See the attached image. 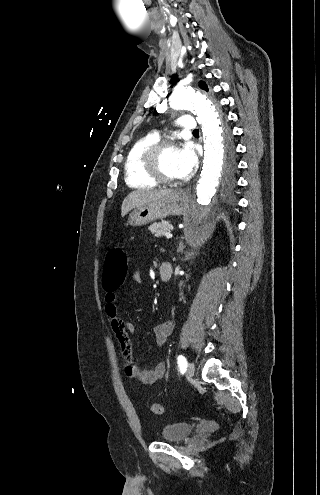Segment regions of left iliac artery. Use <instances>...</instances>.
I'll return each instance as SVG.
<instances>
[{
	"label": "left iliac artery",
	"mask_w": 320,
	"mask_h": 495,
	"mask_svg": "<svg viewBox=\"0 0 320 495\" xmlns=\"http://www.w3.org/2000/svg\"><path fill=\"white\" fill-rule=\"evenodd\" d=\"M179 369L181 373H184L187 368V360L183 355H179L177 358Z\"/></svg>",
	"instance_id": "left-iliac-artery-1"
}]
</instances>
